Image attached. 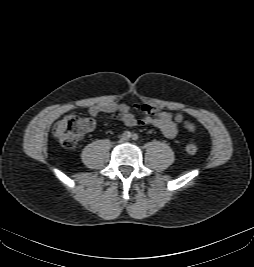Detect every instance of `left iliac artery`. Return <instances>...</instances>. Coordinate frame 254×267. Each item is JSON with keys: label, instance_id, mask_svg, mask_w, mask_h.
Here are the masks:
<instances>
[{"label": "left iliac artery", "instance_id": "left-iliac-artery-1", "mask_svg": "<svg viewBox=\"0 0 254 267\" xmlns=\"http://www.w3.org/2000/svg\"><path fill=\"white\" fill-rule=\"evenodd\" d=\"M132 139H133V140H137V139H138V135H137V134H133V135H132Z\"/></svg>", "mask_w": 254, "mask_h": 267}]
</instances>
